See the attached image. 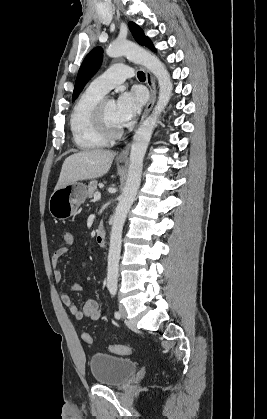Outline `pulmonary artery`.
<instances>
[{
	"label": "pulmonary artery",
	"instance_id": "pulmonary-artery-1",
	"mask_svg": "<svg viewBox=\"0 0 267 419\" xmlns=\"http://www.w3.org/2000/svg\"><path fill=\"white\" fill-rule=\"evenodd\" d=\"M133 76V70L123 64H115L104 73L96 77L89 87L103 94L109 92L115 86L123 83L127 78Z\"/></svg>",
	"mask_w": 267,
	"mask_h": 419
}]
</instances>
